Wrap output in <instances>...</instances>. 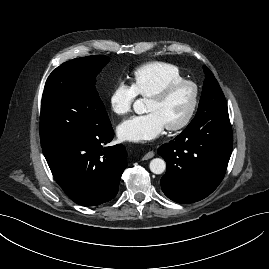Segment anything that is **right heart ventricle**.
<instances>
[{"mask_svg": "<svg viewBox=\"0 0 269 269\" xmlns=\"http://www.w3.org/2000/svg\"><path fill=\"white\" fill-rule=\"evenodd\" d=\"M183 79L177 66L165 62H149L132 72V86L137 95L149 97L167 83Z\"/></svg>", "mask_w": 269, "mask_h": 269, "instance_id": "e07e8e85", "label": "right heart ventricle"}]
</instances>
